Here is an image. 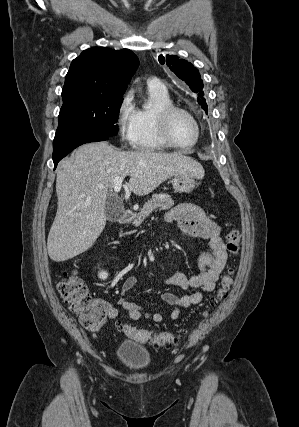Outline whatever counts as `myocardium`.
I'll list each match as a JSON object with an SVG mask.
<instances>
[{
	"instance_id": "obj_1",
	"label": "myocardium",
	"mask_w": 299,
	"mask_h": 427,
	"mask_svg": "<svg viewBox=\"0 0 299 427\" xmlns=\"http://www.w3.org/2000/svg\"><path fill=\"white\" fill-rule=\"evenodd\" d=\"M178 112L186 114L194 122V125L196 128V136H195L194 141L191 144H188V145L178 144V143L173 141V139L170 135V132H169L170 118L173 114L178 113ZM156 124H157L158 133H159L162 141L167 146H169L171 148H176V149L192 148L198 143L200 136H201V127H200L199 121L194 116V114L191 113L189 110H187L183 107L174 105V104L162 107L157 111V113H156Z\"/></svg>"
}]
</instances>
